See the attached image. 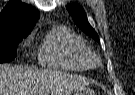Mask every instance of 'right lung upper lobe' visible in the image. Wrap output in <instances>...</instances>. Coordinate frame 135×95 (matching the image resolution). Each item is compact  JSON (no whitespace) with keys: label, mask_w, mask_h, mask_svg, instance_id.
Masks as SVG:
<instances>
[{"label":"right lung upper lobe","mask_w":135,"mask_h":95,"mask_svg":"<svg viewBox=\"0 0 135 95\" xmlns=\"http://www.w3.org/2000/svg\"><path fill=\"white\" fill-rule=\"evenodd\" d=\"M40 14L32 6L19 0H11L0 13V35L31 31Z\"/></svg>","instance_id":"right-lung-upper-lobe-1"}]
</instances>
